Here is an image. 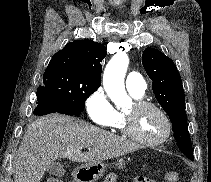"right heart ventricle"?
Instances as JSON below:
<instances>
[{"label": "right heart ventricle", "mask_w": 211, "mask_h": 182, "mask_svg": "<svg viewBox=\"0 0 211 182\" xmlns=\"http://www.w3.org/2000/svg\"><path fill=\"white\" fill-rule=\"evenodd\" d=\"M130 95L135 98V99H140L141 96H136L132 93H130ZM124 115L123 113L119 112V111H116L115 110V117H114V120L112 121L111 124L108 125V127H110L111 129L113 130H116V131H120L122 133H124Z\"/></svg>", "instance_id": "e07e8e85"}]
</instances>
